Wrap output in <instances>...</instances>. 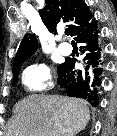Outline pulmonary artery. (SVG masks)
I'll return each instance as SVG.
<instances>
[{
	"mask_svg": "<svg viewBox=\"0 0 117 136\" xmlns=\"http://www.w3.org/2000/svg\"><path fill=\"white\" fill-rule=\"evenodd\" d=\"M58 50L63 55H68L71 53V47L66 44H60Z\"/></svg>",
	"mask_w": 117,
	"mask_h": 136,
	"instance_id": "pulmonary-artery-1",
	"label": "pulmonary artery"
}]
</instances>
